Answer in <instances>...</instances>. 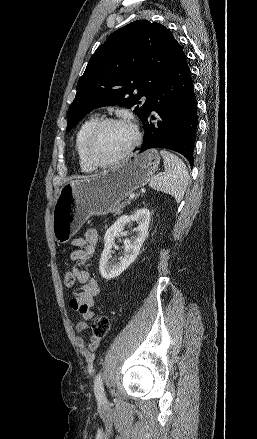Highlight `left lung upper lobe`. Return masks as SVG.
Segmentation results:
<instances>
[{
	"label": "left lung upper lobe",
	"mask_w": 257,
	"mask_h": 439,
	"mask_svg": "<svg viewBox=\"0 0 257 439\" xmlns=\"http://www.w3.org/2000/svg\"><path fill=\"white\" fill-rule=\"evenodd\" d=\"M179 43L163 25L132 22L114 33L90 58L68 109L67 131L94 108L119 105L146 117L154 89Z\"/></svg>",
	"instance_id": "5c2ea615"
}]
</instances>
